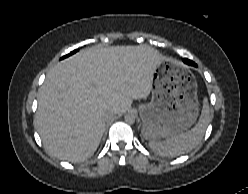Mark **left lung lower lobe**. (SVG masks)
Listing matches in <instances>:
<instances>
[{
  "instance_id": "left-lung-lower-lobe-1",
  "label": "left lung lower lobe",
  "mask_w": 248,
  "mask_h": 194,
  "mask_svg": "<svg viewBox=\"0 0 248 194\" xmlns=\"http://www.w3.org/2000/svg\"><path fill=\"white\" fill-rule=\"evenodd\" d=\"M183 62L192 66H196V64L188 59H183Z\"/></svg>"
}]
</instances>
